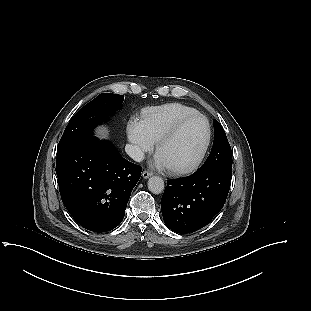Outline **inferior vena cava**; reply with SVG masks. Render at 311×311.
Returning a JSON list of instances; mask_svg holds the SVG:
<instances>
[{
  "instance_id": "obj_1",
  "label": "inferior vena cava",
  "mask_w": 311,
  "mask_h": 311,
  "mask_svg": "<svg viewBox=\"0 0 311 311\" xmlns=\"http://www.w3.org/2000/svg\"><path fill=\"white\" fill-rule=\"evenodd\" d=\"M125 151L134 161L141 162L144 159L143 151L136 145L127 144Z\"/></svg>"
}]
</instances>
